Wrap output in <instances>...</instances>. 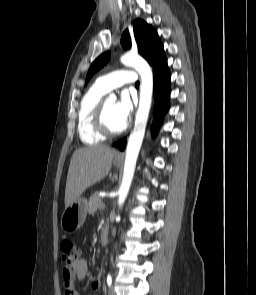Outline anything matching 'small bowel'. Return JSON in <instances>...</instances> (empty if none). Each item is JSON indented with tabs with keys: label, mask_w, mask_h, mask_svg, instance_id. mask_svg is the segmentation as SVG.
Masks as SVG:
<instances>
[{
	"label": "small bowel",
	"mask_w": 256,
	"mask_h": 295,
	"mask_svg": "<svg viewBox=\"0 0 256 295\" xmlns=\"http://www.w3.org/2000/svg\"><path fill=\"white\" fill-rule=\"evenodd\" d=\"M88 275V265L84 259L76 260L70 267L63 269V286L65 295L76 294V282L82 281ZM102 286V278L98 276L92 282V288L97 290Z\"/></svg>",
	"instance_id": "c3829d8e"
}]
</instances>
